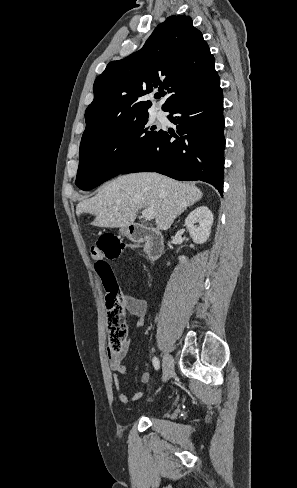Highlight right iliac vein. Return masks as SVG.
Listing matches in <instances>:
<instances>
[{
  "instance_id": "right-iliac-vein-1",
  "label": "right iliac vein",
  "mask_w": 297,
  "mask_h": 488,
  "mask_svg": "<svg viewBox=\"0 0 297 488\" xmlns=\"http://www.w3.org/2000/svg\"><path fill=\"white\" fill-rule=\"evenodd\" d=\"M163 373H162V381H167L172 373H173V370H174V360H173V357L169 354V353H164V357H163Z\"/></svg>"
}]
</instances>
